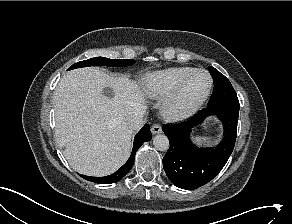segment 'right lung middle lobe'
Masks as SVG:
<instances>
[{
    "label": "right lung middle lobe",
    "instance_id": "dd1d6c3e",
    "mask_svg": "<svg viewBox=\"0 0 292 224\" xmlns=\"http://www.w3.org/2000/svg\"><path fill=\"white\" fill-rule=\"evenodd\" d=\"M135 63V60L126 59H109L105 57H95L88 60L80 61L73 64L68 70L86 67V66H114V67H124Z\"/></svg>",
    "mask_w": 292,
    "mask_h": 224
}]
</instances>
